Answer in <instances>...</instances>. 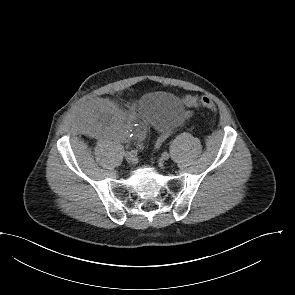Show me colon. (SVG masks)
Masks as SVG:
<instances>
[{"mask_svg": "<svg viewBox=\"0 0 295 295\" xmlns=\"http://www.w3.org/2000/svg\"><path fill=\"white\" fill-rule=\"evenodd\" d=\"M189 106H192V107L201 106V107L210 109L212 111L216 110V106H215L214 102L208 96H202L200 98L192 97L189 100Z\"/></svg>", "mask_w": 295, "mask_h": 295, "instance_id": "colon-1", "label": "colon"}]
</instances>
